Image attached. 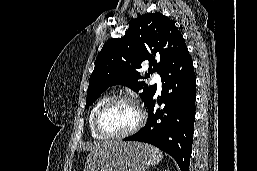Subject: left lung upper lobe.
Masks as SVG:
<instances>
[{
  "label": "left lung upper lobe",
  "instance_id": "obj_1",
  "mask_svg": "<svg viewBox=\"0 0 257 171\" xmlns=\"http://www.w3.org/2000/svg\"><path fill=\"white\" fill-rule=\"evenodd\" d=\"M185 41L175 24L161 13H147L130 23L124 37L105 43L95 61L89 80L86 108L108 87L125 85L147 104L156 85L148 87L138 71L143 62L150 63L148 74L161 73L170 55L185 47Z\"/></svg>",
  "mask_w": 257,
  "mask_h": 171
}]
</instances>
